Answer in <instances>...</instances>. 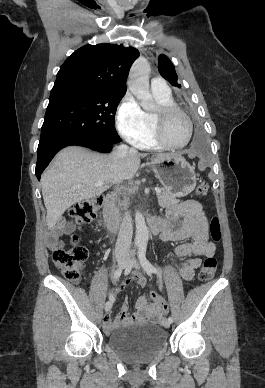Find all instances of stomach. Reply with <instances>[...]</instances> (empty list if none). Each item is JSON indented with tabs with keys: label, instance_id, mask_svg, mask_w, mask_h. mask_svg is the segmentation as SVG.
Segmentation results:
<instances>
[{
	"label": "stomach",
	"instance_id": "obj_1",
	"mask_svg": "<svg viewBox=\"0 0 265 388\" xmlns=\"http://www.w3.org/2000/svg\"><path fill=\"white\" fill-rule=\"evenodd\" d=\"M151 166L164 189L176 197H184L194 190L195 170L182 156H155Z\"/></svg>",
	"mask_w": 265,
	"mask_h": 388
}]
</instances>
